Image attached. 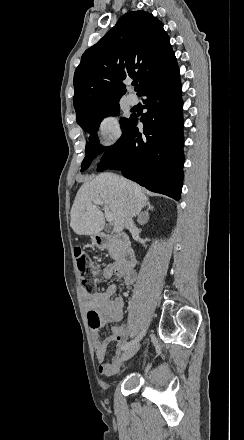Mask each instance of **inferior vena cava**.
Wrapping results in <instances>:
<instances>
[{"instance_id":"1","label":"inferior vena cava","mask_w":244,"mask_h":440,"mask_svg":"<svg viewBox=\"0 0 244 440\" xmlns=\"http://www.w3.org/2000/svg\"><path fill=\"white\" fill-rule=\"evenodd\" d=\"M125 226L126 228H129V230H136V226L132 220V216H129V214H127V218H125Z\"/></svg>"}]
</instances>
